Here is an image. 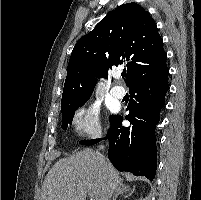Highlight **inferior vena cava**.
<instances>
[{
	"label": "inferior vena cava",
	"mask_w": 201,
	"mask_h": 200,
	"mask_svg": "<svg viewBox=\"0 0 201 200\" xmlns=\"http://www.w3.org/2000/svg\"><path fill=\"white\" fill-rule=\"evenodd\" d=\"M99 149H100V150H101V149H104V146H100V148H99ZM104 160H105L104 156H102V155H101V162L103 163V162H104Z\"/></svg>",
	"instance_id": "inferior-vena-cava-1"
}]
</instances>
